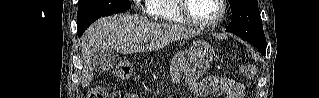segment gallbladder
Listing matches in <instances>:
<instances>
[{
	"instance_id": "1",
	"label": "gallbladder",
	"mask_w": 319,
	"mask_h": 98,
	"mask_svg": "<svg viewBox=\"0 0 319 98\" xmlns=\"http://www.w3.org/2000/svg\"><path fill=\"white\" fill-rule=\"evenodd\" d=\"M117 61V54L113 50H99L92 58L95 71L105 73L112 69Z\"/></svg>"
}]
</instances>
